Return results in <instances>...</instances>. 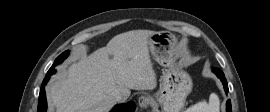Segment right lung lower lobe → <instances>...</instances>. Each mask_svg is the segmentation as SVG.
Wrapping results in <instances>:
<instances>
[{
    "instance_id": "obj_1",
    "label": "right lung lower lobe",
    "mask_w": 270,
    "mask_h": 112,
    "mask_svg": "<svg viewBox=\"0 0 270 112\" xmlns=\"http://www.w3.org/2000/svg\"><path fill=\"white\" fill-rule=\"evenodd\" d=\"M55 72V67H51L46 74L45 79L42 82L40 93H39V100H38V109L37 112H46L47 109V101H46V94H45V85L50 79V76ZM135 104L130 101L126 104H119L116 105L110 112H135Z\"/></svg>"
}]
</instances>
